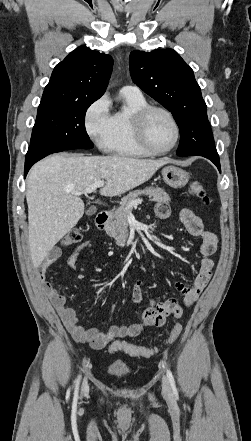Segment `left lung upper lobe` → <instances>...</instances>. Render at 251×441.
<instances>
[{"label": "left lung upper lobe", "mask_w": 251, "mask_h": 441, "mask_svg": "<svg viewBox=\"0 0 251 441\" xmlns=\"http://www.w3.org/2000/svg\"><path fill=\"white\" fill-rule=\"evenodd\" d=\"M133 82L169 110L180 134L208 122L207 106L193 70L173 49L133 51L129 57Z\"/></svg>", "instance_id": "5c2ea615"}]
</instances>
